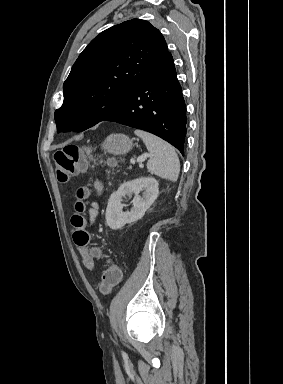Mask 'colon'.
I'll use <instances>...</instances> for the list:
<instances>
[{
    "instance_id": "1",
    "label": "colon",
    "mask_w": 283,
    "mask_h": 384,
    "mask_svg": "<svg viewBox=\"0 0 283 384\" xmlns=\"http://www.w3.org/2000/svg\"><path fill=\"white\" fill-rule=\"evenodd\" d=\"M54 162L59 182L67 183L86 167V150L76 145H67L55 152ZM88 194L87 188L81 187L78 189L75 213L71 218V223L75 229L73 241L80 247H87L90 243V234L85 228L86 220L84 217L85 199L88 197ZM92 253L95 256H99L101 252L95 248L92 250ZM121 279L122 272L120 268L112 260H108L107 268L103 272L99 284L100 292L104 295L109 294L119 284Z\"/></svg>"
}]
</instances>
